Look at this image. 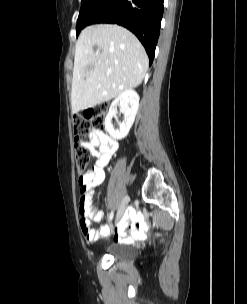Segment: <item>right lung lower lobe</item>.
Here are the masks:
<instances>
[{
	"mask_svg": "<svg viewBox=\"0 0 247 304\" xmlns=\"http://www.w3.org/2000/svg\"><path fill=\"white\" fill-rule=\"evenodd\" d=\"M164 0H102L83 20V28L95 23L124 26L144 46L150 65L158 41Z\"/></svg>",
	"mask_w": 247,
	"mask_h": 304,
	"instance_id": "98d812e1",
	"label": "right lung lower lobe"
}]
</instances>
